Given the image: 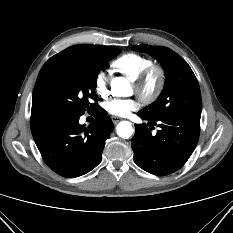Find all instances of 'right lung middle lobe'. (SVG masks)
Masks as SVG:
<instances>
[{
  "label": "right lung middle lobe",
  "mask_w": 233,
  "mask_h": 233,
  "mask_svg": "<svg viewBox=\"0 0 233 233\" xmlns=\"http://www.w3.org/2000/svg\"><path fill=\"white\" fill-rule=\"evenodd\" d=\"M120 53L115 46H98L61 52L42 67L32 97L31 116L82 115L95 108L97 76L104 65ZM90 104V105H89Z\"/></svg>",
  "instance_id": "dd1d6c3e"
}]
</instances>
